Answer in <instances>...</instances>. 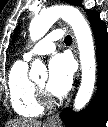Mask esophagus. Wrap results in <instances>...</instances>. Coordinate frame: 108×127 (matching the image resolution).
I'll list each match as a JSON object with an SVG mask.
<instances>
[{"label":"esophagus","mask_w":108,"mask_h":127,"mask_svg":"<svg viewBox=\"0 0 108 127\" xmlns=\"http://www.w3.org/2000/svg\"><path fill=\"white\" fill-rule=\"evenodd\" d=\"M72 34V39H73V43H72V50L76 56V58H78V51H77V44H76V39L75 36ZM71 99H68V101L66 102V106L70 103ZM61 124V120L59 117V113L52 115L51 117H49L46 121V126L47 127H60Z\"/></svg>","instance_id":"esophagus-1"}]
</instances>
